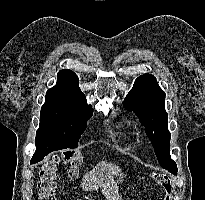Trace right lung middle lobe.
<instances>
[{"label": "right lung middle lobe", "mask_w": 205, "mask_h": 200, "mask_svg": "<svg viewBox=\"0 0 205 200\" xmlns=\"http://www.w3.org/2000/svg\"><path fill=\"white\" fill-rule=\"evenodd\" d=\"M92 114L84 94L56 85L46 92L36 139L49 137L58 141L62 149L75 148Z\"/></svg>", "instance_id": "right-lung-middle-lobe-1"}]
</instances>
